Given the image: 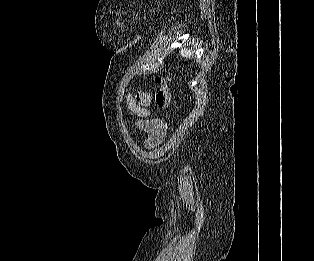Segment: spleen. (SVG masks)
I'll return each mask as SVG.
<instances>
[{"instance_id":"3e777b00","label":"spleen","mask_w":314,"mask_h":261,"mask_svg":"<svg viewBox=\"0 0 314 261\" xmlns=\"http://www.w3.org/2000/svg\"><path fill=\"white\" fill-rule=\"evenodd\" d=\"M179 52H180V55L184 58L193 59L194 57V50L190 48H184V49L181 48Z\"/></svg>"}]
</instances>
